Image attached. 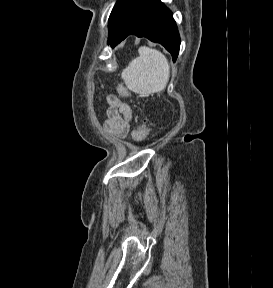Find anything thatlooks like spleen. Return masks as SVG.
<instances>
[{"instance_id": "spleen-1", "label": "spleen", "mask_w": 273, "mask_h": 288, "mask_svg": "<svg viewBox=\"0 0 273 288\" xmlns=\"http://www.w3.org/2000/svg\"><path fill=\"white\" fill-rule=\"evenodd\" d=\"M138 52L139 57L133 59L122 71L125 85L140 95L163 91L170 77L167 58L160 51L146 46H141Z\"/></svg>"}]
</instances>
